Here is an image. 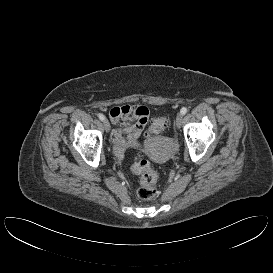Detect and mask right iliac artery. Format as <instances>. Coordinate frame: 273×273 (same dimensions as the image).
I'll return each mask as SVG.
<instances>
[{"mask_svg":"<svg viewBox=\"0 0 273 273\" xmlns=\"http://www.w3.org/2000/svg\"><path fill=\"white\" fill-rule=\"evenodd\" d=\"M98 117H99V119H100L101 121H104V120H105V116H104L103 114H99Z\"/></svg>","mask_w":273,"mask_h":273,"instance_id":"right-iliac-artery-1","label":"right iliac artery"}]
</instances>
